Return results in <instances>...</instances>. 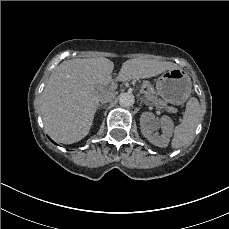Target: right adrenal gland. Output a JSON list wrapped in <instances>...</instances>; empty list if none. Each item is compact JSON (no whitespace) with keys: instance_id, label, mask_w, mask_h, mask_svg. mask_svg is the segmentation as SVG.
I'll return each instance as SVG.
<instances>
[{"instance_id":"1","label":"right adrenal gland","mask_w":229,"mask_h":229,"mask_svg":"<svg viewBox=\"0 0 229 229\" xmlns=\"http://www.w3.org/2000/svg\"><path fill=\"white\" fill-rule=\"evenodd\" d=\"M99 107H104V106L100 105ZM99 107L97 108V111H96V113H98Z\"/></svg>"}]
</instances>
